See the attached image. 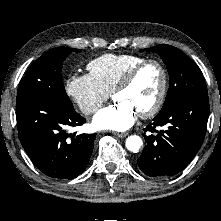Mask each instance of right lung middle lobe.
Segmentation results:
<instances>
[{"label": "right lung middle lobe", "mask_w": 221, "mask_h": 221, "mask_svg": "<svg viewBox=\"0 0 221 221\" xmlns=\"http://www.w3.org/2000/svg\"><path fill=\"white\" fill-rule=\"evenodd\" d=\"M73 51L80 52L81 50L57 47L38 58L20 81L16 106L31 99L45 98L67 107H73L65 94L61 77L63 61Z\"/></svg>", "instance_id": "obj_1"}]
</instances>
